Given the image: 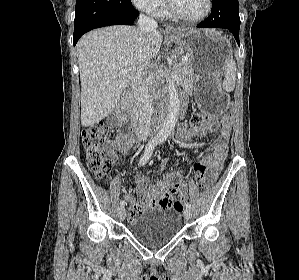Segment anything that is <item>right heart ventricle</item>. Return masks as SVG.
<instances>
[{
  "label": "right heart ventricle",
  "instance_id": "e07e8e85",
  "mask_svg": "<svg viewBox=\"0 0 299 280\" xmlns=\"http://www.w3.org/2000/svg\"><path fill=\"white\" fill-rule=\"evenodd\" d=\"M158 15H169V12L165 8H161L160 11L158 12Z\"/></svg>",
  "mask_w": 299,
  "mask_h": 280
}]
</instances>
